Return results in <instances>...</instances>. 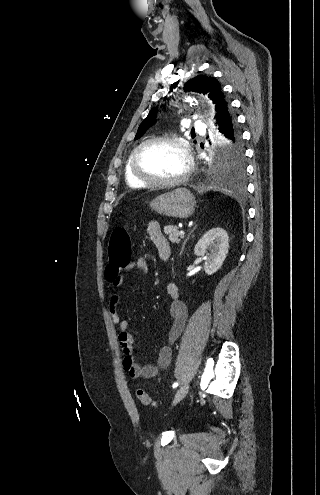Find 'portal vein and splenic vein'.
Returning <instances> with one entry per match:
<instances>
[{"label":"portal vein and splenic vein","mask_w":320,"mask_h":495,"mask_svg":"<svg viewBox=\"0 0 320 495\" xmlns=\"http://www.w3.org/2000/svg\"><path fill=\"white\" fill-rule=\"evenodd\" d=\"M179 234H180V235H184V234H185V232H184V231H180V232H179Z\"/></svg>","instance_id":"1"}]
</instances>
